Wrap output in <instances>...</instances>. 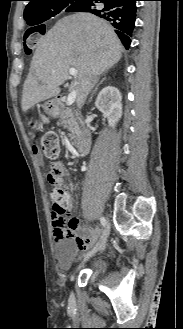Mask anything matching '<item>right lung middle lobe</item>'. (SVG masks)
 <instances>
[{
	"mask_svg": "<svg viewBox=\"0 0 183 329\" xmlns=\"http://www.w3.org/2000/svg\"><path fill=\"white\" fill-rule=\"evenodd\" d=\"M83 0H62L59 2L54 3L51 6V9L48 10L46 13L41 14V15H37V16H33V17H28V18H24L27 23L31 26H34L33 32L35 31H39L40 33H44L42 31V28L44 27V25H41V23H43L44 21L48 20L49 18L59 14L60 12H72L74 10H76L79 5L81 4Z\"/></svg>",
	"mask_w": 183,
	"mask_h": 329,
	"instance_id": "dd1d6c3e",
	"label": "right lung middle lobe"
}]
</instances>
